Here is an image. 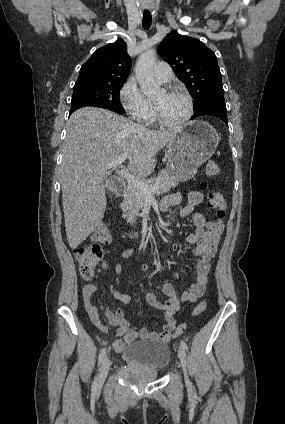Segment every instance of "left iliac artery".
<instances>
[{
	"instance_id": "1",
	"label": "left iliac artery",
	"mask_w": 285,
	"mask_h": 424,
	"mask_svg": "<svg viewBox=\"0 0 285 424\" xmlns=\"http://www.w3.org/2000/svg\"><path fill=\"white\" fill-rule=\"evenodd\" d=\"M181 346L185 349V350H188V346H187V344H186V342L185 341H181Z\"/></svg>"
}]
</instances>
